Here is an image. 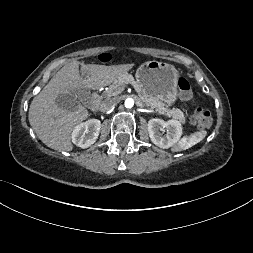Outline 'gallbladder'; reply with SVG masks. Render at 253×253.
I'll list each match as a JSON object with an SVG mask.
<instances>
[{
	"label": "gallbladder",
	"mask_w": 253,
	"mask_h": 253,
	"mask_svg": "<svg viewBox=\"0 0 253 253\" xmlns=\"http://www.w3.org/2000/svg\"><path fill=\"white\" fill-rule=\"evenodd\" d=\"M79 101L84 104L90 101V94L87 89L83 88L78 93L69 92L67 94H60L56 97V104L67 110L76 109Z\"/></svg>",
	"instance_id": "1"
}]
</instances>
